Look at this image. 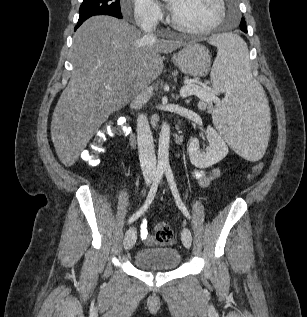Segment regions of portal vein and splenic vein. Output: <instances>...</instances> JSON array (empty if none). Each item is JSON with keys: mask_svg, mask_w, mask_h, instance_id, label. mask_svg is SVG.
I'll return each mask as SVG.
<instances>
[{"mask_svg": "<svg viewBox=\"0 0 307 317\" xmlns=\"http://www.w3.org/2000/svg\"><path fill=\"white\" fill-rule=\"evenodd\" d=\"M104 87L106 89H110L109 84H106ZM180 95L182 97L195 95L203 101H211L215 102L216 104L220 103L218 97L213 92L203 89L202 87L196 84H185L180 90Z\"/></svg>", "mask_w": 307, "mask_h": 317, "instance_id": "portal-vein-and-splenic-vein-1", "label": "portal vein and splenic vein"}]
</instances>
